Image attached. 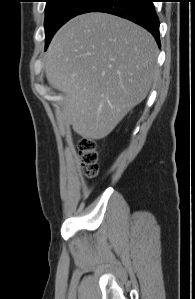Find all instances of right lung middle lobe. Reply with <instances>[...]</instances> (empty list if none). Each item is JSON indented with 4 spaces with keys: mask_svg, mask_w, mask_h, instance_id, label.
I'll list each match as a JSON object with an SVG mask.
<instances>
[{
    "mask_svg": "<svg viewBox=\"0 0 195 299\" xmlns=\"http://www.w3.org/2000/svg\"><path fill=\"white\" fill-rule=\"evenodd\" d=\"M46 47L55 32L69 19L78 15L90 0H46Z\"/></svg>",
    "mask_w": 195,
    "mask_h": 299,
    "instance_id": "right-lung-middle-lobe-1",
    "label": "right lung middle lobe"
}]
</instances>
